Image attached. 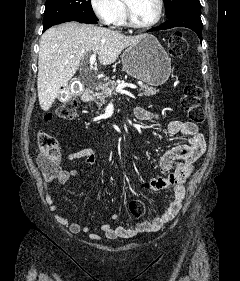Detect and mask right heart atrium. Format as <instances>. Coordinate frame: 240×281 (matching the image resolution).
I'll use <instances>...</instances> for the list:
<instances>
[{
	"instance_id": "obj_1",
	"label": "right heart atrium",
	"mask_w": 240,
	"mask_h": 281,
	"mask_svg": "<svg viewBox=\"0 0 240 281\" xmlns=\"http://www.w3.org/2000/svg\"><path fill=\"white\" fill-rule=\"evenodd\" d=\"M118 0H89L94 15L106 25L115 24L118 13Z\"/></svg>"
}]
</instances>
